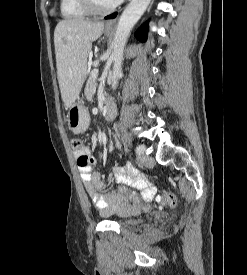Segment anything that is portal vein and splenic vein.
I'll use <instances>...</instances> for the list:
<instances>
[{"instance_id":"1","label":"portal vein and splenic vein","mask_w":247,"mask_h":275,"mask_svg":"<svg viewBox=\"0 0 247 275\" xmlns=\"http://www.w3.org/2000/svg\"><path fill=\"white\" fill-rule=\"evenodd\" d=\"M92 75H93L94 77H97V75H98V69H94V70L92 71Z\"/></svg>"}]
</instances>
